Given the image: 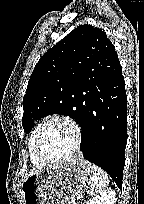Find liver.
<instances>
[{"instance_id":"6515ba94","label":"liver","mask_w":144,"mask_h":204,"mask_svg":"<svg viewBox=\"0 0 144 204\" xmlns=\"http://www.w3.org/2000/svg\"><path fill=\"white\" fill-rule=\"evenodd\" d=\"M41 171H43V170H35V171H32V172L29 173L28 176H30V175H32V174H34V173H39V172H41Z\"/></svg>"}]
</instances>
